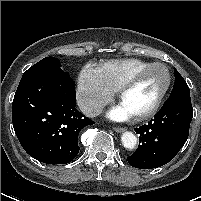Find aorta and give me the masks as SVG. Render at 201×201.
I'll return each instance as SVG.
<instances>
[{
	"instance_id": "762f6f07",
	"label": "aorta",
	"mask_w": 201,
	"mask_h": 201,
	"mask_svg": "<svg viewBox=\"0 0 201 201\" xmlns=\"http://www.w3.org/2000/svg\"><path fill=\"white\" fill-rule=\"evenodd\" d=\"M121 142L125 148L134 149L137 144V138L132 132L126 131L121 136Z\"/></svg>"
}]
</instances>
